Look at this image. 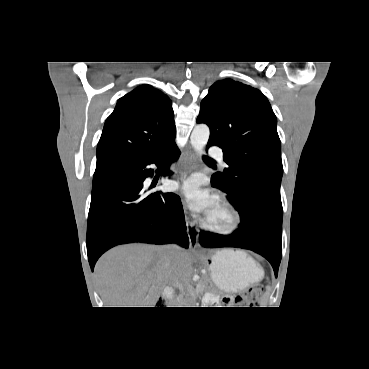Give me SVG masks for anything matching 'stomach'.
<instances>
[{"label":"stomach","mask_w":369,"mask_h":369,"mask_svg":"<svg viewBox=\"0 0 369 369\" xmlns=\"http://www.w3.org/2000/svg\"><path fill=\"white\" fill-rule=\"evenodd\" d=\"M211 263L206 260L216 286L227 293L239 292L257 283L263 271L244 252L221 250L213 255Z\"/></svg>","instance_id":"1"}]
</instances>
